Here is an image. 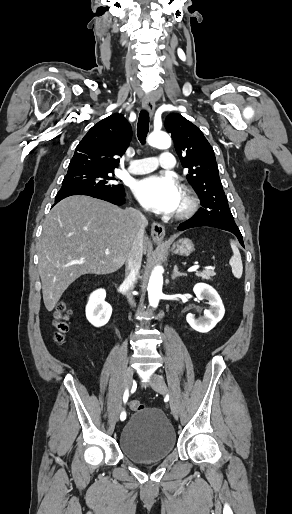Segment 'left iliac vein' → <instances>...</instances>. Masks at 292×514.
<instances>
[{"mask_svg":"<svg viewBox=\"0 0 292 514\" xmlns=\"http://www.w3.org/2000/svg\"><path fill=\"white\" fill-rule=\"evenodd\" d=\"M151 385H152L153 389L155 391H157L158 393H160V394H166L167 393L166 383H165L164 379L160 375L153 374ZM170 409H171V413L174 416V418L178 419V408H177V405H176V403H175V401L173 399H170Z\"/></svg>","mask_w":292,"mask_h":514,"instance_id":"obj_1","label":"left iliac vein"}]
</instances>
